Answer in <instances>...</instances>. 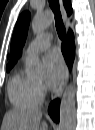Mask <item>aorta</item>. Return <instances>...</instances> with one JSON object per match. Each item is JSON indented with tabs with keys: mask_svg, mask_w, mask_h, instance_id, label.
Instances as JSON below:
<instances>
[{
	"mask_svg": "<svg viewBox=\"0 0 95 130\" xmlns=\"http://www.w3.org/2000/svg\"><path fill=\"white\" fill-rule=\"evenodd\" d=\"M53 20V14L46 11L34 16L31 22V29L34 34L44 31ZM28 71L31 75L37 76L42 72V66L37 56H32L28 62ZM76 127V89L73 84L65 87L60 103L59 130H75Z\"/></svg>",
	"mask_w": 95,
	"mask_h": 130,
	"instance_id": "762f6f07",
	"label": "aorta"
}]
</instances>
